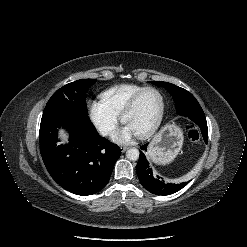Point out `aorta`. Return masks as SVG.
<instances>
[{"label":"aorta","mask_w":247,"mask_h":247,"mask_svg":"<svg viewBox=\"0 0 247 247\" xmlns=\"http://www.w3.org/2000/svg\"><path fill=\"white\" fill-rule=\"evenodd\" d=\"M126 158L130 161H136L139 159V150L137 148H130L126 152Z\"/></svg>","instance_id":"aorta-1"}]
</instances>
